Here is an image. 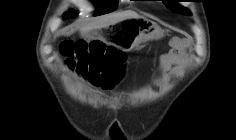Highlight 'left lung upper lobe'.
<instances>
[{
	"label": "left lung upper lobe",
	"instance_id": "5c2ea615",
	"mask_svg": "<svg viewBox=\"0 0 236 140\" xmlns=\"http://www.w3.org/2000/svg\"><path fill=\"white\" fill-rule=\"evenodd\" d=\"M178 1L179 0H166L165 4L170 10L174 12H179L185 15L191 14L190 11H188L186 8H183L179 6L178 4H176V2Z\"/></svg>",
	"mask_w": 236,
	"mask_h": 140
}]
</instances>
